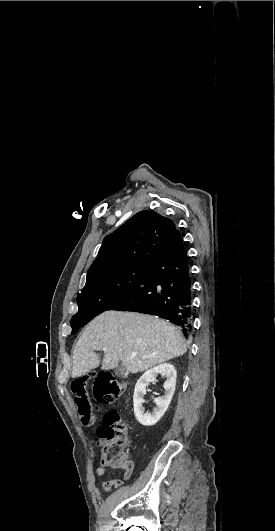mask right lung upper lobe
<instances>
[{
  "label": "right lung upper lobe",
  "mask_w": 275,
  "mask_h": 531,
  "mask_svg": "<svg viewBox=\"0 0 275 531\" xmlns=\"http://www.w3.org/2000/svg\"><path fill=\"white\" fill-rule=\"evenodd\" d=\"M177 230L172 220L153 211H140L106 236L88 270L86 283L112 271L147 265Z\"/></svg>",
  "instance_id": "cb5924a9"
}]
</instances>
